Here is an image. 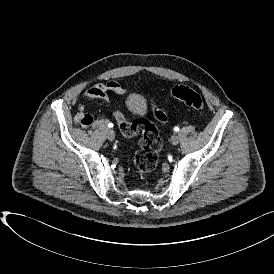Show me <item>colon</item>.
<instances>
[{"mask_svg":"<svg viewBox=\"0 0 274 274\" xmlns=\"http://www.w3.org/2000/svg\"><path fill=\"white\" fill-rule=\"evenodd\" d=\"M171 95L177 101L203 113V100L190 86L177 85L172 89ZM151 112L153 117L157 118L158 123L168 120V115L158 105H151ZM113 116L124 137L132 138L141 135L142 140L133 159V168L142 177L149 175L158 163V154L162 146L156 125L146 117L128 121L120 110H115Z\"/></svg>","mask_w":274,"mask_h":274,"instance_id":"5ec220e1","label":"colon"}]
</instances>
